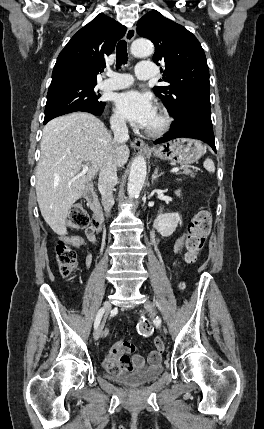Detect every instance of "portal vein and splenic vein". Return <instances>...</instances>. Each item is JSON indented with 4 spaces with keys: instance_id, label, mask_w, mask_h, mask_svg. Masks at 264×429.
<instances>
[{
    "instance_id": "portal-vein-and-splenic-vein-1",
    "label": "portal vein and splenic vein",
    "mask_w": 264,
    "mask_h": 429,
    "mask_svg": "<svg viewBox=\"0 0 264 429\" xmlns=\"http://www.w3.org/2000/svg\"><path fill=\"white\" fill-rule=\"evenodd\" d=\"M83 167V171H87L88 169H89V167H88V165L87 164H85V165H83L82 166ZM180 170V168L179 167H174V168H172L171 169V173H176V172H178Z\"/></svg>"
}]
</instances>
